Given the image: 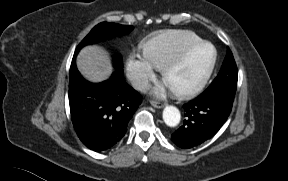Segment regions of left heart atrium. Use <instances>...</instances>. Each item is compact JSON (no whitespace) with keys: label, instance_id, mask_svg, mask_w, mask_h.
I'll use <instances>...</instances> for the list:
<instances>
[{"label":"left heart atrium","instance_id":"obj_1","mask_svg":"<svg viewBox=\"0 0 288 181\" xmlns=\"http://www.w3.org/2000/svg\"><path fill=\"white\" fill-rule=\"evenodd\" d=\"M163 91V87H160L159 89H157V93H160Z\"/></svg>","mask_w":288,"mask_h":181}]
</instances>
